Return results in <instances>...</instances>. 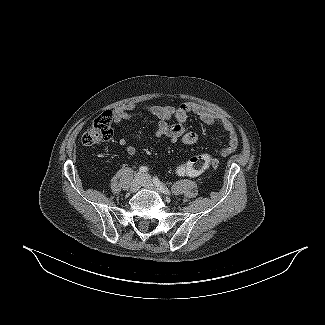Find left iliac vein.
I'll return each mask as SVG.
<instances>
[{"label":"left iliac vein","mask_w":325,"mask_h":325,"mask_svg":"<svg viewBox=\"0 0 325 325\" xmlns=\"http://www.w3.org/2000/svg\"><path fill=\"white\" fill-rule=\"evenodd\" d=\"M143 181H142V186L148 189L156 190L158 192H161L158 188L154 186V184L151 181V177L148 174L142 175Z\"/></svg>","instance_id":"1"}]
</instances>
